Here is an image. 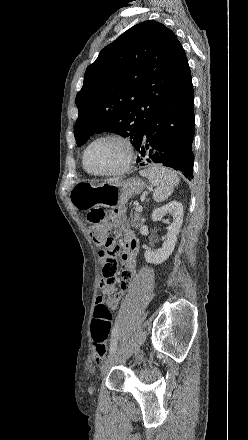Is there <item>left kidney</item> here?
Here are the masks:
<instances>
[{"label":"left kidney","mask_w":248,"mask_h":440,"mask_svg":"<svg viewBox=\"0 0 248 440\" xmlns=\"http://www.w3.org/2000/svg\"><path fill=\"white\" fill-rule=\"evenodd\" d=\"M167 214L173 217L172 223L167 227V239L162 248L155 251H145L144 257L148 263L161 264L169 258L175 248L177 236L183 222L182 204L178 201H171L165 206L155 209L152 213V220L159 221Z\"/></svg>","instance_id":"left-kidney-1"}]
</instances>
